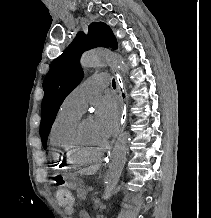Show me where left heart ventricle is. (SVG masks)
I'll use <instances>...</instances> for the list:
<instances>
[{"instance_id": "left-heart-ventricle-1", "label": "left heart ventricle", "mask_w": 211, "mask_h": 218, "mask_svg": "<svg viewBox=\"0 0 211 218\" xmlns=\"http://www.w3.org/2000/svg\"><path fill=\"white\" fill-rule=\"evenodd\" d=\"M82 136L84 143L94 149L103 147L108 141L97 131L94 120L91 118H87L83 121Z\"/></svg>"}]
</instances>
